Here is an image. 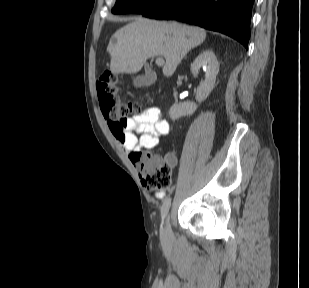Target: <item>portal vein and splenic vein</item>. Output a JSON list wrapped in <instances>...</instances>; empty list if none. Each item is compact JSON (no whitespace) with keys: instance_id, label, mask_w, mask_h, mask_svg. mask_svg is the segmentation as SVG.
I'll list each match as a JSON object with an SVG mask.
<instances>
[{"instance_id":"1","label":"portal vein and splenic vein","mask_w":309,"mask_h":288,"mask_svg":"<svg viewBox=\"0 0 309 288\" xmlns=\"http://www.w3.org/2000/svg\"><path fill=\"white\" fill-rule=\"evenodd\" d=\"M155 62L158 66H163L164 63H165V61L162 57H157Z\"/></svg>"}]
</instances>
